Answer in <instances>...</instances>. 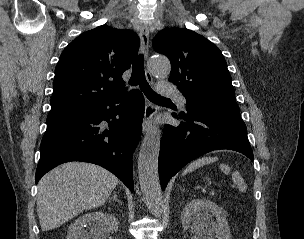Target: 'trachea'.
Returning <instances> with one entry per match:
<instances>
[{
	"mask_svg": "<svg viewBox=\"0 0 304 239\" xmlns=\"http://www.w3.org/2000/svg\"><path fill=\"white\" fill-rule=\"evenodd\" d=\"M130 85H139L146 97L153 102H167L170 99L158 95L148 84L144 73L143 55L139 54L133 62Z\"/></svg>",
	"mask_w": 304,
	"mask_h": 239,
	"instance_id": "1",
	"label": "trachea"
}]
</instances>
